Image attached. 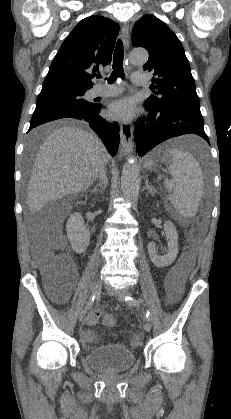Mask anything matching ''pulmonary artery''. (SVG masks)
<instances>
[{
	"mask_svg": "<svg viewBox=\"0 0 231 419\" xmlns=\"http://www.w3.org/2000/svg\"><path fill=\"white\" fill-rule=\"evenodd\" d=\"M131 80L136 85H145L147 83L146 75L139 72L133 73ZM121 91L122 88L118 85H97L90 90L89 95L92 98L101 96H113L119 94Z\"/></svg>",
	"mask_w": 231,
	"mask_h": 419,
	"instance_id": "obj_1",
	"label": "pulmonary artery"
}]
</instances>
